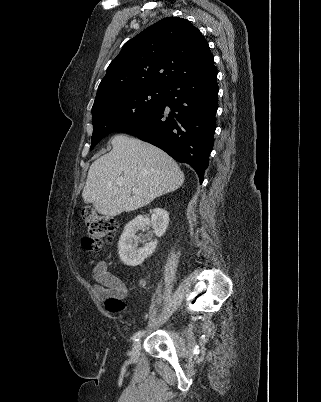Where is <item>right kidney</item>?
<instances>
[{"label": "right kidney", "instance_id": "1", "mask_svg": "<svg viewBox=\"0 0 321 402\" xmlns=\"http://www.w3.org/2000/svg\"><path fill=\"white\" fill-rule=\"evenodd\" d=\"M148 224L152 225L157 237L163 236L169 224V213L165 209L155 208L150 221H146L143 216L139 215L126 224L118 242L119 257L125 265L132 267L140 265L155 251L156 239L138 249L134 246L136 233Z\"/></svg>", "mask_w": 321, "mask_h": 402}]
</instances>
